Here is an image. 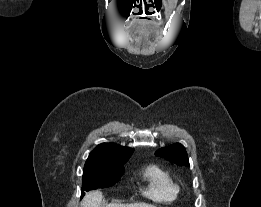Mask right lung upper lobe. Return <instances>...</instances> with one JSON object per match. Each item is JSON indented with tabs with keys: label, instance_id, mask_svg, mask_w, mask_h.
I'll list each match as a JSON object with an SVG mask.
<instances>
[{
	"label": "right lung upper lobe",
	"instance_id": "right-lung-upper-lobe-1",
	"mask_svg": "<svg viewBox=\"0 0 261 207\" xmlns=\"http://www.w3.org/2000/svg\"><path fill=\"white\" fill-rule=\"evenodd\" d=\"M133 151L115 143H102L89 154L85 166L113 164L120 159L130 158Z\"/></svg>",
	"mask_w": 261,
	"mask_h": 207
}]
</instances>
